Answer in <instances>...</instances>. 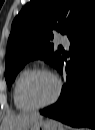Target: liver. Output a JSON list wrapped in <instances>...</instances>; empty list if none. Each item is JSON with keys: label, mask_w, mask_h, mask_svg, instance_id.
<instances>
[{"label": "liver", "mask_w": 95, "mask_h": 130, "mask_svg": "<svg viewBox=\"0 0 95 130\" xmlns=\"http://www.w3.org/2000/svg\"><path fill=\"white\" fill-rule=\"evenodd\" d=\"M41 118L37 113L8 114L4 121V128L6 130H29L31 125Z\"/></svg>", "instance_id": "obj_1"}]
</instances>
